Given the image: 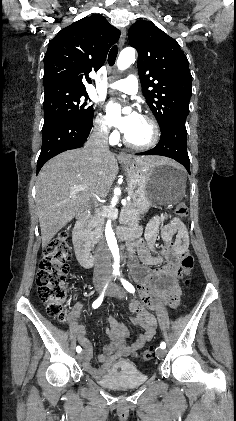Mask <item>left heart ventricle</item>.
I'll return each mask as SVG.
<instances>
[{"label":"left heart ventricle","mask_w":236,"mask_h":421,"mask_svg":"<svg viewBox=\"0 0 236 421\" xmlns=\"http://www.w3.org/2000/svg\"><path fill=\"white\" fill-rule=\"evenodd\" d=\"M127 138L136 144H145L150 141L152 137V130L149 124L140 117L132 130L126 134Z\"/></svg>","instance_id":"left-heart-ventricle-1"}]
</instances>
